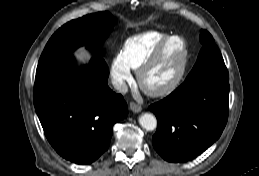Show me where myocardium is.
I'll use <instances>...</instances> for the list:
<instances>
[{"mask_svg":"<svg viewBox=\"0 0 259 176\" xmlns=\"http://www.w3.org/2000/svg\"><path fill=\"white\" fill-rule=\"evenodd\" d=\"M178 40L181 43V50H180V60L178 63V68L173 76V78L168 81L167 83L158 86V87H151L146 84L145 77L147 73L152 69V67L160 60L162 57L166 46L172 40ZM188 54L189 48L186 39L180 35H168L165 37L159 45L155 48V50L151 53V55L143 62L140 68L137 70V80L140 88L148 95L153 97H161L171 93L181 82L188 62Z\"/></svg>","mask_w":259,"mask_h":176,"instance_id":"myocardium-1","label":"myocardium"}]
</instances>
